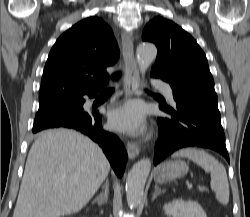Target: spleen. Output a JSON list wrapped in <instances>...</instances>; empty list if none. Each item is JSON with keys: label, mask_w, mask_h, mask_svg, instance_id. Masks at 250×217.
<instances>
[{"label": "spleen", "mask_w": 250, "mask_h": 217, "mask_svg": "<svg viewBox=\"0 0 250 217\" xmlns=\"http://www.w3.org/2000/svg\"><path fill=\"white\" fill-rule=\"evenodd\" d=\"M175 157H187L201 166L205 172L211 175V189L215 192L216 199L219 203L227 205L229 202V183L226 169L218 160L205 152L196 148H185L175 152Z\"/></svg>", "instance_id": "obj_1"}]
</instances>
